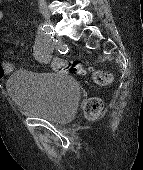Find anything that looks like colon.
<instances>
[{
	"instance_id": "5ec220e1",
	"label": "colon",
	"mask_w": 143,
	"mask_h": 170,
	"mask_svg": "<svg viewBox=\"0 0 143 170\" xmlns=\"http://www.w3.org/2000/svg\"><path fill=\"white\" fill-rule=\"evenodd\" d=\"M56 68L59 71L70 70L75 74H82L86 71L84 66L80 63H74L71 66H68L62 60L57 62ZM92 81L96 84L105 85L112 81V76L106 72L92 71ZM84 110L88 119H94L100 114L102 110V103L98 98H90L87 100Z\"/></svg>"
}]
</instances>
